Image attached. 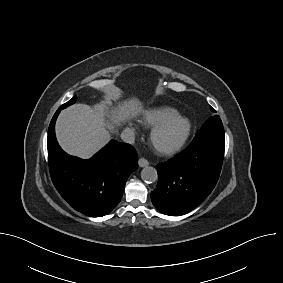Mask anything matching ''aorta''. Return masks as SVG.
<instances>
[{"label": "aorta", "instance_id": "obj_1", "mask_svg": "<svg viewBox=\"0 0 283 283\" xmlns=\"http://www.w3.org/2000/svg\"><path fill=\"white\" fill-rule=\"evenodd\" d=\"M141 178L147 183H153L157 180V170L154 167L146 166L141 171Z\"/></svg>", "mask_w": 283, "mask_h": 283}]
</instances>
